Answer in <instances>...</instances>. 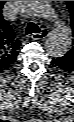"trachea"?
I'll use <instances>...</instances> for the list:
<instances>
[{
  "label": "trachea",
  "instance_id": "3493384b",
  "mask_svg": "<svg viewBox=\"0 0 74 122\" xmlns=\"http://www.w3.org/2000/svg\"><path fill=\"white\" fill-rule=\"evenodd\" d=\"M41 30L40 28L33 22H29L26 26V35H29V34H34V33H40Z\"/></svg>",
  "mask_w": 74,
  "mask_h": 122
}]
</instances>
